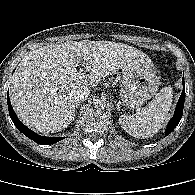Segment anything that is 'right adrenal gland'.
Returning a JSON list of instances; mask_svg holds the SVG:
<instances>
[{"instance_id": "obj_1", "label": "right adrenal gland", "mask_w": 195, "mask_h": 195, "mask_svg": "<svg viewBox=\"0 0 195 195\" xmlns=\"http://www.w3.org/2000/svg\"><path fill=\"white\" fill-rule=\"evenodd\" d=\"M79 107V104H77L76 106H75V113H74V116L76 115V109Z\"/></svg>"}]
</instances>
